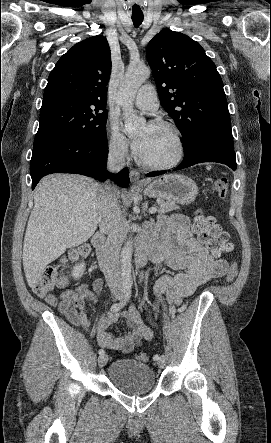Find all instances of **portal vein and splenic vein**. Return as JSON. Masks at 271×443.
Masks as SVG:
<instances>
[{
    "mask_svg": "<svg viewBox=\"0 0 271 443\" xmlns=\"http://www.w3.org/2000/svg\"><path fill=\"white\" fill-rule=\"evenodd\" d=\"M151 214H155V212H158L157 208H151L150 210Z\"/></svg>",
    "mask_w": 271,
    "mask_h": 443,
    "instance_id": "18ae733b",
    "label": "portal vein and splenic vein"
}]
</instances>
